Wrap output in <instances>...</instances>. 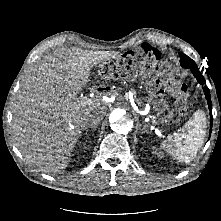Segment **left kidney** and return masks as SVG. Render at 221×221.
<instances>
[{"instance_id":"1","label":"left kidney","mask_w":221,"mask_h":221,"mask_svg":"<svg viewBox=\"0 0 221 221\" xmlns=\"http://www.w3.org/2000/svg\"><path fill=\"white\" fill-rule=\"evenodd\" d=\"M154 153H155V154H158V155H160V153H159V152H157V151H154Z\"/></svg>"}]
</instances>
